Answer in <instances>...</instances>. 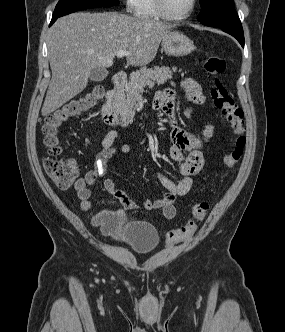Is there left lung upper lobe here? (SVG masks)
Returning <instances> with one entry per match:
<instances>
[{
  "mask_svg": "<svg viewBox=\"0 0 285 332\" xmlns=\"http://www.w3.org/2000/svg\"><path fill=\"white\" fill-rule=\"evenodd\" d=\"M201 12L198 20L207 26L241 25L234 0H200Z\"/></svg>",
  "mask_w": 285,
  "mask_h": 332,
  "instance_id": "left-lung-upper-lobe-1",
  "label": "left lung upper lobe"
}]
</instances>
